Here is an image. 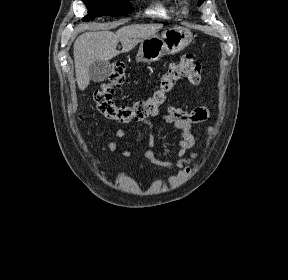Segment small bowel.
Instances as JSON below:
<instances>
[{
  "instance_id": "obj_1",
  "label": "small bowel",
  "mask_w": 288,
  "mask_h": 280,
  "mask_svg": "<svg viewBox=\"0 0 288 280\" xmlns=\"http://www.w3.org/2000/svg\"><path fill=\"white\" fill-rule=\"evenodd\" d=\"M157 114V113H156ZM155 114V115H156ZM153 115V116H155ZM210 112L207 107L200 106L193 110L186 111L181 108L174 106H168L167 111L161 116V119L166 123L172 125L179 133L180 139L178 141V160L176 162H167L158 160L151 150H147L144 155L151 162L164 168H178L180 171L176 176H170L166 181L170 185H175L178 182L185 179L190 173V164L196 158V154L193 152L195 146V137L192 133V126L194 124L202 123L209 118ZM138 124L147 126L150 130L153 129V124L150 120H140ZM212 130V128H210ZM104 132L102 131L97 138V142H100L103 138ZM127 135V129L119 128L116 131V136L118 138H123ZM108 149L111 153H115L118 149H121V154L130 158L132 156L131 152L127 149L121 148L118 141H112L108 145Z\"/></svg>"
}]
</instances>
